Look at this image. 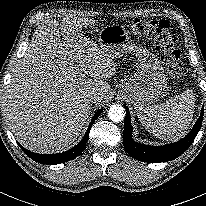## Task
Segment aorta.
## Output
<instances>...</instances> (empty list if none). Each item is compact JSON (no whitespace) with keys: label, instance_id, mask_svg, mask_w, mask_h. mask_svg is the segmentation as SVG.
<instances>
[{"label":"aorta","instance_id":"1","mask_svg":"<svg viewBox=\"0 0 206 206\" xmlns=\"http://www.w3.org/2000/svg\"><path fill=\"white\" fill-rule=\"evenodd\" d=\"M108 117L113 122H120V121H122L124 119V117H125V109H124V107L119 105V104L112 105L109 108Z\"/></svg>","mask_w":206,"mask_h":206}]
</instances>
